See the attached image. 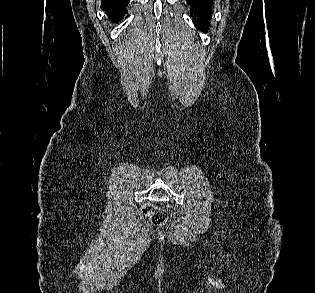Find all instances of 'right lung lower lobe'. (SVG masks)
Wrapping results in <instances>:
<instances>
[{
  "label": "right lung lower lobe",
  "mask_w": 315,
  "mask_h": 293,
  "mask_svg": "<svg viewBox=\"0 0 315 293\" xmlns=\"http://www.w3.org/2000/svg\"><path fill=\"white\" fill-rule=\"evenodd\" d=\"M129 0H102L101 8L107 13L110 20L118 22L126 12Z\"/></svg>",
  "instance_id": "98d812e1"
}]
</instances>
